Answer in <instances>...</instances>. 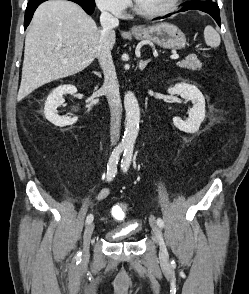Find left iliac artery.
Masks as SVG:
<instances>
[{"label": "left iliac artery", "mask_w": 249, "mask_h": 294, "mask_svg": "<svg viewBox=\"0 0 249 294\" xmlns=\"http://www.w3.org/2000/svg\"><path fill=\"white\" fill-rule=\"evenodd\" d=\"M133 156V145H128L125 148L124 154H123V159L121 161V168L124 172H126L130 166L131 160ZM157 224L159 227L163 228L164 227V221L161 218L157 219Z\"/></svg>", "instance_id": "obj_1"}]
</instances>
